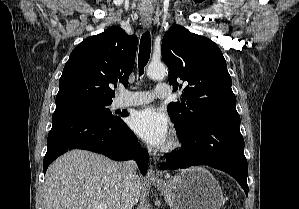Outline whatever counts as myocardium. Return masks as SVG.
Wrapping results in <instances>:
<instances>
[{
	"mask_svg": "<svg viewBox=\"0 0 299 209\" xmlns=\"http://www.w3.org/2000/svg\"><path fill=\"white\" fill-rule=\"evenodd\" d=\"M182 147V142L180 138L176 135H173L167 143L161 148V153L164 155H172L176 153Z\"/></svg>",
	"mask_w": 299,
	"mask_h": 209,
	"instance_id": "f54148a6",
	"label": "myocardium"
}]
</instances>
